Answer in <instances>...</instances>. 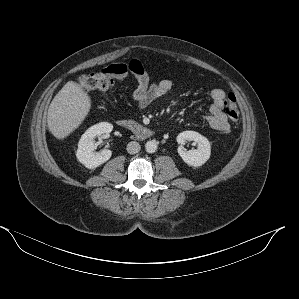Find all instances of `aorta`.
Masks as SVG:
<instances>
[{"instance_id": "762f6f07", "label": "aorta", "mask_w": 299, "mask_h": 299, "mask_svg": "<svg viewBox=\"0 0 299 299\" xmlns=\"http://www.w3.org/2000/svg\"><path fill=\"white\" fill-rule=\"evenodd\" d=\"M145 149L148 153H154L157 150V143L155 141H148L145 144Z\"/></svg>"}]
</instances>
